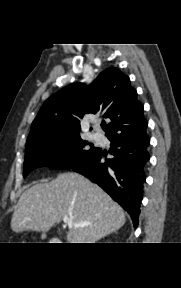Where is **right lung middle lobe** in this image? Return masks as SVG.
I'll return each mask as SVG.
<instances>
[{"instance_id": "1", "label": "right lung middle lobe", "mask_w": 181, "mask_h": 288, "mask_svg": "<svg viewBox=\"0 0 181 288\" xmlns=\"http://www.w3.org/2000/svg\"><path fill=\"white\" fill-rule=\"evenodd\" d=\"M83 141L79 133L55 132L34 137L26 143L23 176L42 166L69 169L93 155L97 148Z\"/></svg>"}]
</instances>
